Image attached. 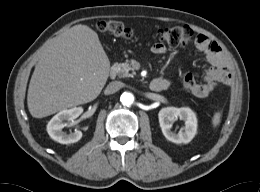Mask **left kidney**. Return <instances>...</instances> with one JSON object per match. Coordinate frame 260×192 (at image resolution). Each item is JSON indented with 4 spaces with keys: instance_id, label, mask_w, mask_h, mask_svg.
Returning <instances> with one entry per match:
<instances>
[{
    "instance_id": "5707ae66",
    "label": "left kidney",
    "mask_w": 260,
    "mask_h": 192,
    "mask_svg": "<svg viewBox=\"0 0 260 192\" xmlns=\"http://www.w3.org/2000/svg\"><path fill=\"white\" fill-rule=\"evenodd\" d=\"M185 121L184 131L174 133L171 128L175 118ZM159 124L165 138L173 143H189L197 133V118L195 113L188 107H165L158 113Z\"/></svg>"
}]
</instances>
